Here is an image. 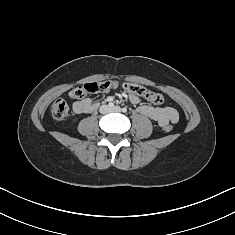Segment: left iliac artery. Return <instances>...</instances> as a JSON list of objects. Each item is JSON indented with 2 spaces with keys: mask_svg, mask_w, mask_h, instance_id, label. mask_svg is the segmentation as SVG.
Here are the masks:
<instances>
[{
  "mask_svg": "<svg viewBox=\"0 0 235 235\" xmlns=\"http://www.w3.org/2000/svg\"><path fill=\"white\" fill-rule=\"evenodd\" d=\"M122 112H124V113L127 112V109H126V108H123V109H122Z\"/></svg>",
  "mask_w": 235,
  "mask_h": 235,
  "instance_id": "left-iliac-artery-1",
  "label": "left iliac artery"
}]
</instances>
